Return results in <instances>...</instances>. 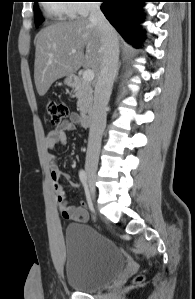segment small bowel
Returning a JSON list of instances; mask_svg holds the SVG:
<instances>
[{
  "instance_id": "small-bowel-1",
  "label": "small bowel",
  "mask_w": 195,
  "mask_h": 299,
  "mask_svg": "<svg viewBox=\"0 0 195 299\" xmlns=\"http://www.w3.org/2000/svg\"><path fill=\"white\" fill-rule=\"evenodd\" d=\"M79 124V116L77 113L72 112L67 120L61 122L54 130H52L46 140L48 149H56L63 146L67 141V134L73 131ZM51 179L53 187L56 192L57 201L59 203V210L63 218L73 220L76 222H86L89 218L88 211L84 206L69 205L68 198L61 184L60 179H65L71 182L68 174L62 172L53 158H50Z\"/></svg>"
}]
</instances>
